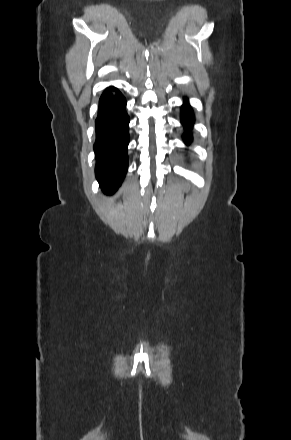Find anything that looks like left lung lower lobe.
<instances>
[{"label":"left lung lower lobe","mask_w":291,"mask_h":440,"mask_svg":"<svg viewBox=\"0 0 291 440\" xmlns=\"http://www.w3.org/2000/svg\"><path fill=\"white\" fill-rule=\"evenodd\" d=\"M194 122V117L192 114V110L190 109L189 105H184L182 107V123L184 124V127L186 129V133L184 134V139L186 143H189L191 141V135L189 134V131L191 130V126Z\"/></svg>","instance_id":"obj_1"}]
</instances>
